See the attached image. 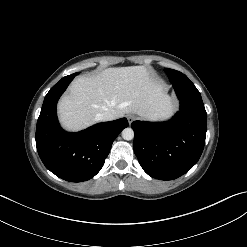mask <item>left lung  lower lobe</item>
I'll use <instances>...</instances> for the list:
<instances>
[{
    "instance_id": "obj_1",
    "label": "left lung lower lobe",
    "mask_w": 247,
    "mask_h": 247,
    "mask_svg": "<svg viewBox=\"0 0 247 247\" xmlns=\"http://www.w3.org/2000/svg\"><path fill=\"white\" fill-rule=\"evenodd\" d=\"M180 111L167 122L134 121V152L143 170L153 178L173 180L199 160L206 138L207 113L194 86L173 85Z\"/></svg>"
}]
</instances>
